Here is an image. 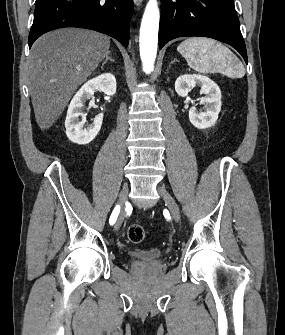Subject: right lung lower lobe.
Masks as SVG:
<instances>
[{
    "label": "right lung lower lobe",
    "mask_w": 285,
    "mask_h": 335,
    "mask_svg": "<svg viewBox=\"0 0 285 335\" xmlns=\"http://www.w3.org/2000/svg\"><path fill=\"white\" fill-rule=\"evenodd\" d=\"M132 12V0H36L28 44L31 47L39 36L54 29L83 27L127 47Z\"/></svg>",
    "instance_id": "right-lung-lower-lobe-1"
}]
</instances>
